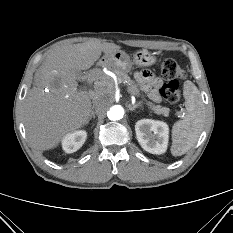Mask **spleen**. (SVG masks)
I'll use <instances>...</instances> for the list:
<instances>
[{"label":"spleen","mask_w":233,"mask_h":233,"mask_svg":"<svg viewBox=\"0 0 233 233\" xmlns=\"http://www.w3.org/2000/svg\"><path fill=\"white\" fill-rule=\"evenodd\" d=\"M183 94L186 114L172 127L171 153L173 156H181L195 145L204 122V105L195 84L189 80L186 81Z\"/></svg>","instance_id":"3e777b00"}]
</instances>
